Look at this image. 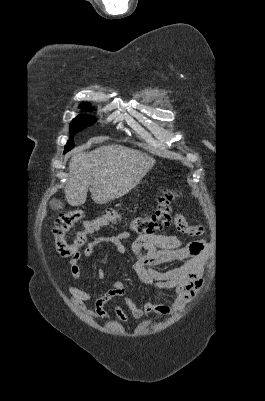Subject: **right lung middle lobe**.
I'll return each mask as SVG.
<instances>
[{
	"label": "right lung middle lobe",
	"instance_id": "dd1d6c3e",
	"mask_svg": "<svg viewBox=\"0 0 265 401\" xmlns=\"http://www.w3.org/2000/svg\"><path fill=\"white\" fill-rule=\"evenodd\" d=\"M84 110H89L87 106H81ZM96 119L86 114H80L72 120L69 126L71 139L68 140L64 153L68 152L74 147L73 136L84 128L94 124Z\"/></svg>",
	"mask_w": 265,
	"mask_h": 401
}]
</instances>
